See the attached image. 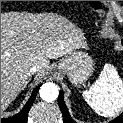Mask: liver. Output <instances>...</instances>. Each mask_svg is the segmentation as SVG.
<instances>
[{
	"mask_svg": "<svg viewBox=\"0 0 123 123\" xmlns=\"http://www.w3.org/2000/svg\"><path fill=\"white\" fill-rule=\"evenodd\" d=\"M82 31L53 14H1V112L29 82L30 67L42 76L49 60L86 48Z\"/></svg>",
	"mask_w": 123,
	"mask_h": 123,
	"instance_id": "liver-1",
	"label": "liver"
}]
</instances>
